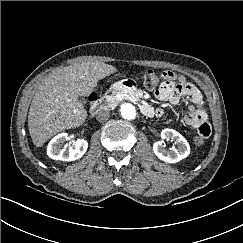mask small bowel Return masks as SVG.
I'll return each instance as SVG.
<instances>
[{"label":"small bowel","mask_w":243,"mask_h":243,"mask_svg":"<svg viewBox=\"0 0 243 243\" xmlns=\"http://www.w3.org/2000/svg\"><path fill=\"white\" fill-rule=\"evenodd\" d=\"M154 96L160 101L177 105L182 99L187 98L191 102L184 114V122L196 129L197 133L204 138L211 134V126L208 122V115L203 107V97L199 89L186 78L178 73L164 72V81L154 91ZM163 109L155 111L156 117H162Z\"/></svg>","instance_id":"c3829d8e"}]
</instances>
